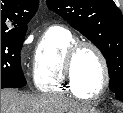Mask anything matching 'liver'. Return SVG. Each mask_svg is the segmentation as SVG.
I'll return each instance as SVG.
<instances>
[{
    "mask_svg": "<svg viewBox=\"0 0 123 113\" xmlns=\"http://www.w3.org/2000/svg\"><path fill=\"white\" fill-rule=\"evenodd\" d=\"M83 108L61 95H30L15 89L1 90V113H75Z\"/></svg>",
    "mask_w": 123,
    "mask_h": 113,
    "instance_id": "obj_1",
    "label": "liver"
}]
</instances>
